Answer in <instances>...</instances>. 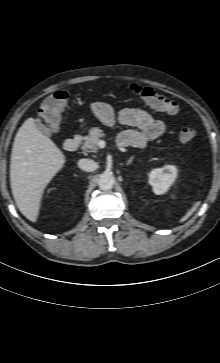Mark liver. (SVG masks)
<instances>
[{
    "label": "liver",
    "mask_w": 220,
    "mask_h": 363,
    "mask_svg": "<svg viewBox=\"0 0 220 363\" xmlns=\"http://www.w3.org/2000/svg\"><path fill=\"white\" fill-rule=\"evenodd\" d=\"M65 163L63 152L37 129L35 119H26L13 142L10 184L18 209L30 221H37L44 189Z\"/></svg>",
    "instance_id": "liver-1"
}]
</instances>
